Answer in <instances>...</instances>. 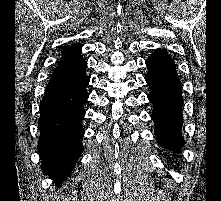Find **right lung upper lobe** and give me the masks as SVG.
I'll list each match as a JSON object with an SVG mask.
<instances>
[{
  "label": "right lung upper lobe",
  "mask_w": 221,
  "mask_h": 201,
  "mask_svg": "<svg viewBox=\"0 0 221 201\" xmlns=\"http://www.w3.org/2000/svg\"><path fill=\"white\" fill-rule=\"evenodd\" d=\"M81 45L74 44L68 46L63 52L60 62H77L83 60L81 57Z\"/></svg>",
  "instance_id": "right-lung-upper-lobe-1"
}]
</instances>
